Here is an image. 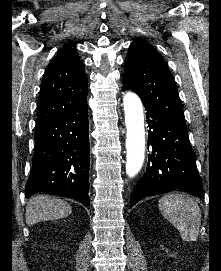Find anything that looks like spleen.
<instances>
[{"label": "spleen", "mask_w": 221, "mask_h": 271, "mask_svg": "<svg viewBox=\"0 0 221 271\" xmlns=\"http://www.w3.org/2000/svg\"><path fill=\"white\" fill-rule=\"evenodd\" d=\"M159 209L180 231L183 241H197L201 225V209L189 195L170 193L159 199Z\"/></svg>", "instance_id": "obj_1"}]
</instances>
